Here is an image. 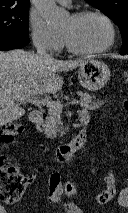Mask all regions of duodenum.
Listing matches in <instances>:
<instances>
[{"label":"duodenum","mask_w":128,"mask_h":213,"mask_svg":"<svg viewBox=\"0 0 128 213\" xmlns=\"http://www.w3.org/2000/svg\"><path fill=\"white\" fill-rule=\"evenodd\" d=\"M30 121L36 125L40 126L42 123L43 115L40 111L35 110L31 112L29 116ZM82 128L77 133V135L69 142L64 145L59 146L55 151V157L59 162L67 161L75 152L81 149L86 141H87V134L85 127L88 124L86 119H80Z\"/></svg>","instance_id":"obj_1"}]
</instances>
